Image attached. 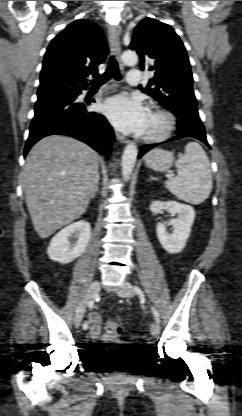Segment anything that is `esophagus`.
<instances>
[{"label": "esophagus", "instance_id": "obj_1", "mask_svg": "<svg viewBox=\"0 0 242 416\" xmlns=\"http://www.w3.org/2000/svg\"><path fill=\"white\" fill-rule=\"evenodd\" d=\"M108 34H109V40L111 42L113 52L117 56V58H119L120 52H121V46H120V38H119V35L117 33L116 27L109 26ZM116 137L121 143H129L130 142L129 139H127L126 137L122 136L119 133H116Z\"/></svg>", "mask_w": 242, "mask_h": 416}]
</instances>
